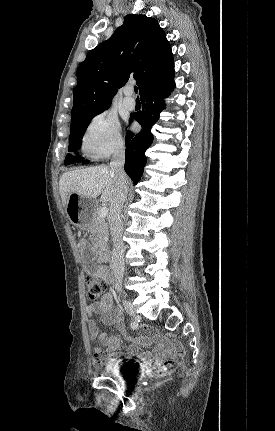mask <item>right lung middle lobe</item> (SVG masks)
Returning a JSON list of instances; mask_svg holds the SVG:
<instances>
[{"mask_svg":"<svg viewBox=\"0 0 275 431\" xmlns=\"http://www.w3.org/2000/svg\"><path fill=\"white\" fill-rule=\"evenodd\" d=\"M103 111L104 110L93 113L91 115H88L86 117H83V118L71 123L70 142H69V149H68V151L70 153L67 154V156L65 158V165H69L71 163H74V162H77L80 160L79 157L73 156V154L76 153L78 151V149L80 148L81 143H82V137L85 133V130H86L89 122L92 120L93 117L102 113Z\"/></svg>","mask_w":275,"mask_h":431,"instance_id":"obj_1","label":"right lung middle lobe"}]
</instances>
